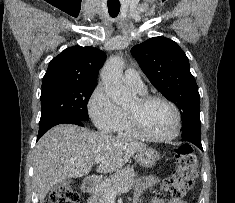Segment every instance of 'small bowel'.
Here are the masks:
<instances>
[{"label": "small bowel", "mask_w": 235, "mask_h": 203, "mask_svg": "<svg viewBox=\"0 0 235 203\" xmlns=\"http://www.w3.org/2000/svg\"><path fill=\"white\" fill-rule=\"evenodd\" d=\"M158 178L156 176H142L137 179L135 186H134V197L136 203H138L141 195L149 188L154 186L158 183ZM151 203H187L182 199L177 198H170L169 200L165 201L160 197H153L151 199Z\"/></svg>", "instance_id": "small-bowel-1"}]
</instances>
